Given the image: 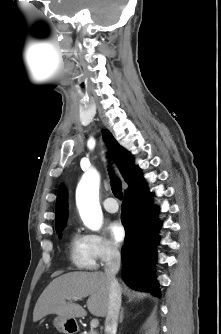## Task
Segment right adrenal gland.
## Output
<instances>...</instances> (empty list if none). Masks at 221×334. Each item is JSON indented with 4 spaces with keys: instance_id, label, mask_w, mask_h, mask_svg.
<instances>
[{
    "instance_id": "obj_1",
    "label": "right adrenal gland",
    "mask_w": 221,
    "mask_h": 334,
    "mask_svg": "<svg viewBox=\"0 0 221 334\" xmlns=\"http://www.w3.org/2000/svg\"><path fill=\"white\" fill-rule=\"evenodd\" d=\"M123 318H124V309L122 308V309H121V312H120V318H119V322H120V323L123 322Z\"/></svg>"
}]
</instances>
